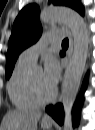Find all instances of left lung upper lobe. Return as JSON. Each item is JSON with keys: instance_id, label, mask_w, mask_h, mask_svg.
Returning a JSON list of instances; mask_svg holds the SVG:
<instances>
[{"instance_id": "left-lung-upper-lobe-1", "label": "left lung upper lobe", "mask_w": 95, "mask_h": 130, "mask_svg": "<svg viewBox=\"0 0 95 130\" xmlns=\"http://www.w3.org/2000/svg\"><path fill=\"white\" fill-rule=\"evenodd\" d=\"M55 5H64L71 7L84 14L83 6L80 0H50ZM40 9L37 5L31 4L21 10L17 16L12 35L8 43L6 57V78L8 79L13 71L14 64L18 55L27 47L35 43L42 33V27L39 22Z\"/></svg>"}]
</instances>
